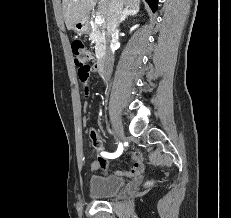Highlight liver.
I'll use <instances>...</instances> for the list:
<instances>
[{
    "instance_id": "6515ba94",
    "label": "liver",
    "mask_w": 231,
    "mask_h": 218,
    "mask_svg": "<svg viewBox=\"0 0 231 218\" xmlns=\"http://www.w3.org/2000/svg\"><path fill=\"white\" fill-rule=\"evenodd\" d=\"M97 0H62V10L65 24L68 30L73 29V25L85 19L90 10L96 5ZM126 8L139 10L140 0H123ZM111 0H100L98 13L107 19L110 12Z\"/></svg>"
}]
</instances>
